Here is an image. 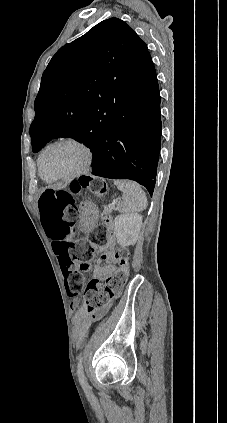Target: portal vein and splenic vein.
Listing matches in <instances>:
<instances>
[{
    "label": "portal vein and splenic vein",
    "instance_id": "18ae733b",
    "mask_svg": "<svg viewBox=\"0 0 227 423\" xmlns=\"http://www.w3.org/2000/svg\"><path fill=\"white\" fill-rule=\"evenodd\" d=\"M117 203H120V200L114 199L110 204V208L115 209Z\"/></svg>",
    "mask_w": 227,
    "mask_h": 423
}]
</instances>
